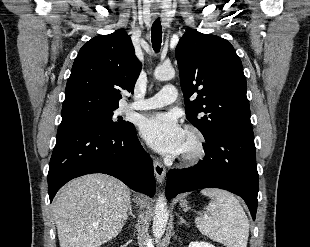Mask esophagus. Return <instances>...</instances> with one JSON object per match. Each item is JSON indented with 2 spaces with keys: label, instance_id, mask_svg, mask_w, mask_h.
I'll list each match as a JSON object with an SVG mask.
<instances>
[{
  "label": "esophagus",
  "instance_id": "34e87169",
  "mask_svg": "<svg viewBox=\"0 0 310 247\" xmlns=\"http://www.w3.org/2000/svg\"><path fill=\"white\" fill-rule=\"evenodd\" d=\"M156 15L157 14H155V16ZM153 166H154V172H155V176H156L158 183L163 184L165 177H166V169L164 165L160 161L155 159L153 162Z\"/></svg>",
  "mask_w": 310,
  "mask_h": 247
}]
</instances>
